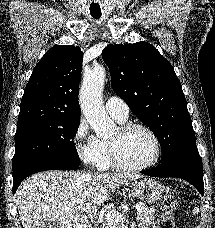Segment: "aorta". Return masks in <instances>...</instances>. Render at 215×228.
I'll return each instance as SVG.
<instances>
[{"label": "aorta", "mask_w": 215, "mask_h": 228, "mask_svg": "<svg viewBox=\"0 0 215 228\" xmlns=\"http://www.w3.org/2000/svg\"><path fill=\"white\" fill-rule=\"evenodd\" d=\"M104 80L105 68H101V66L94 68L88 76H84L79 94L83 116L97 136H104L114 128L100 98Z\"/></svg>", "instance_id": "aorta-1"}]
</instances>
